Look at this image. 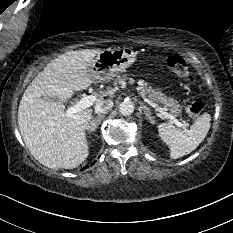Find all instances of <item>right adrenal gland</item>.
Masks as SVG:
<instances>
[{"label": "right adrenal gland", "mask_w": 233, "mask_h": 233, "mask_svg": "<svg viewBox=\"0 0 233 233\" xmlns=\"http://www.w3.org/2000/svg\"><path fill=\"white\" fill-rule=\"evenodd\" d=\"M105 117V115H98L95 118H93L92 120L89 121V123L87 124L86 129L89 132H93L95 131V129L98 127V125L100 124L101 120Z\"/></svg>", "instance_id": "1"}]
</instances>
